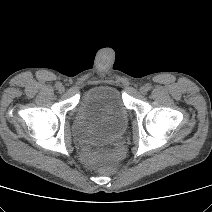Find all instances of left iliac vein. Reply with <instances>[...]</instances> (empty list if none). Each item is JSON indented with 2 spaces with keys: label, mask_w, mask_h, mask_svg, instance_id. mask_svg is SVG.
<instances>
[{
  "label": "left iliac vein",
  "mask_w": 212,
  "mask_h": 212,
  "mask_svg": "<svg viewBox=\"0 0 212 212\" xmlns=\"http://www.w3.org/2000/svg\"><path fill=\"white\" fill-rule=\"evenodd\" d=\"M147 91H148V89H147V87H146V86H142V87H140V93H141V94H146V93H147Z\"/></svg>",
  "instance_id": "obj_1"
}]
</instances>
